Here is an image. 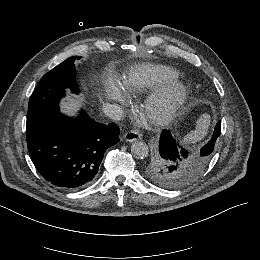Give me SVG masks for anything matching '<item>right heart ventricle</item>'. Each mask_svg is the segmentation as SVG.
<instances>
[{"label":"right heart ventricle","instance_id":"e07e8e85","mask_svg":"<svg viewBox=\"0 0 260 260\" xmlns=\"http://www.w3.org/2000/svg\"><path fill=\"white\" fill-rule=\"evenodd\" d=\"M131 82H124L131 94L158 91L163 86L178 81L180 74L173 68L159 64H147L135 69Z\"/></svg>","mask_w":260,"mask_h":260}]
</instances>
